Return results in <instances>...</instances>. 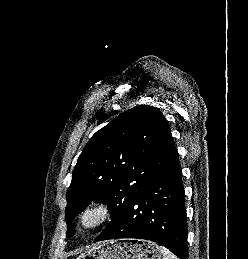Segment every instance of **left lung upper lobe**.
I'll use <instances>...</instances> for the list:
<instances>
[{
  "label": "left lung upper lobe",
  "instance_id": "left-lung-upper-lobe-1",
  "mask_svg": "<svg viewBox=\"0 0 248 259\" xmlns=\"http://www.w3.org/2000/svg\"><path fill=\"white\" fill-rule=\"evenodd\" d=\"M168 121L149 105L131 108L97 131L80 154L67 190L66 221L92 201L108 205L116 222L176 157Z\"/></svg>",
  "mask_w": 248,
  "mask_h": 259
}]
</instances>
